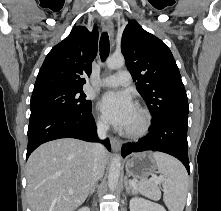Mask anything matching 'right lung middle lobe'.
<instances>
[{"label":"right lung middle lobe","mask_w":221,"mask_h":211,"mask_svg":"<svg viewBox=\"0 0 221 211\" xmlns=\"http://www.w3.org/2000/svg\"><path fill=\"white\" fill-rule=\"evenodd\" d=\"M85 98L82 89L49 88L33 91L30 117L51 111L84 112L91 107V102Z\"/></svg>","instance_id":"1"}]
</instances>
